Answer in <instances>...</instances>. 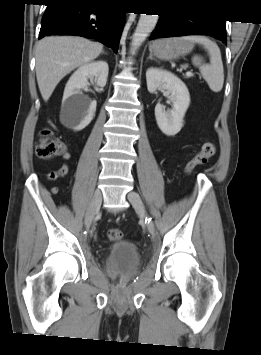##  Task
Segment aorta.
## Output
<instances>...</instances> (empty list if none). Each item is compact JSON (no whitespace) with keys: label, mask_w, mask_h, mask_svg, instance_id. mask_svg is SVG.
I'll return each instance as SVG.
<instances>
[{"label":"aorta","mask_w":261,"mask_h":355,"mask_svg":"<svg viewBox=\"0 0 261 355\" xmlns=\"http://www.w3.org/2000/svg\"><path fill=\"white\" fill-rule=\"evenodd\" d=\"M157 20L158 15L141 14L132 38L131 52L133 54L154 30Z\"/></svg>","instance_id":"obj_1"}]
</instances>
